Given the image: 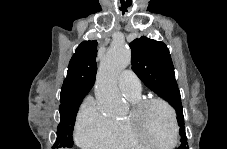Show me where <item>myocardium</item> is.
Masks as SVG:
<instances>
[{
	"mask_svg": "<svg viewBox=\"0 0 227 149\" xmlns=\"http://www.w3.org/2000/svg\"><path fill=\"white\" fill-rule=\"evenodd\" d=\"M154 104H160L164 106L170 113L172 123H173V139L168 144H158L150 139L144 134L142 130V118L144 112L148 107ZM128 127L132 134L145 146L151 147H173L178 142L179 136V124L177 120V115L175 109L167 101L160 98H146L141 99L137 103L133 104L131 114L126 118Z\"/></svg>",
	"mask_w": 227,
	"mask_h": 149,
	"instance_id": "obj_1",
	"label": "myocardium"
}]
</instances>
